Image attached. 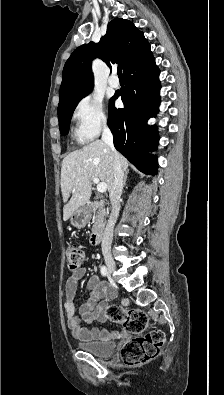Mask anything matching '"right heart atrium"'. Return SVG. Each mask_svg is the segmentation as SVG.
<instances>
[{
  "label": "right heart atrium",
  "instance_id": "right-heart-atrium-1",
  "mask_svg": "<svg viewBox=\"0 0 224 395\" xmlns=\"http://www.w3.org/2000/svg\"><path fill=\"white\" fill-rule=\"evenodd\" d=\"M72 119L75 123V133L82 140H92L109 125V119L101 100L85 97L74 107Z\"/></svg>",
  "mask_w": 224,
  "mask_h": 395
}]
</instances>
